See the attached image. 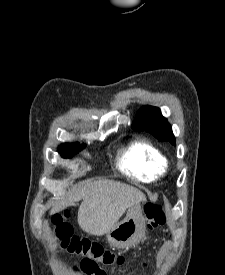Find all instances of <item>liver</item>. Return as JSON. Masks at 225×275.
I'll list each match as a JSON object with an SVG mask.
<instances>
[{"mask_svg":"<svg viewBox=\"0 0 225 275\" xmlns=\"http://www.w3.org/2000/svg\"><path fill=\"white\" fill-rule=\"evenodd\" d=\"M82 200L78 210L80 228L91 235L102 236L110 231L132 205L145 202L137 188L112 180L85 181L61 199L51 214L74 206Z\"/></svg>","mask_w":225,"mask_h":275,"instance_id":"1","label":"liver"}]
</instances>
